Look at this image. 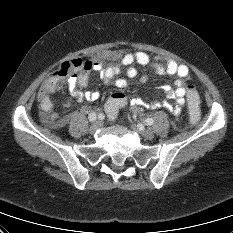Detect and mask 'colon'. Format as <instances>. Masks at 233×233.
Wrapping results in <instances>:
<instances>
[{
    "label": "colon",
    "mask_w": 233,
    "mask_h": 233,
    "mask_svg": "<svg viewBox=\"0 0 233 233\" xmlns=\"http://www.w3.org/2000/svg\"><path fill=\"white\" fill-rule=\"evenodd\" d=\"M92 63L90 61H84L80 58L73 59L65 62L61 67L46 79V82L42 85L38 101L41 108L45 111L49 110L52 106V95L55 92L59 82L67 76H79L87 73L91 70ZM127 96L124 93H114L106 104V114L108 118L114 119L119 110L126 104ZM187 102L190 113V120L192 123H196L200 117L199 108V96L192 84L187 85Z\"/></svg>",
    "instance_id": "obj_1"
}]
</instances>
